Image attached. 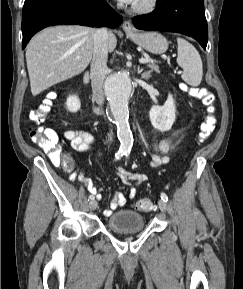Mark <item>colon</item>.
Wrapping results in <instances>:
<instances>
[{
	"label": "colon",
	"instance_id": "1",
	"mask_svg": "<svg viewBox=\"0 0 243 289\" xmlns=\"http://www.w3.org/2000/svg\"><path fill=\"white\" fill-rule=\"evenodd\" d=\"M189 93L199 99L206 108V116L200 125L199 141H205L215 129V107L214 96L204 87H194L189 90ZM51 100L44 101L41 105L31 111L30 119L37 125L30 129V137L37 143L42 149H44L53 164L61 166L66 171H72L74 168L73 159L61 152L58 145L57 133L41 125L46 119L51 110ZM135 208L148 212L154 208L153 203L148 199H139L134 204Z\"/></svg>",
	"mask_w": 243,
	"mask_h": 289
}]
</instances>
